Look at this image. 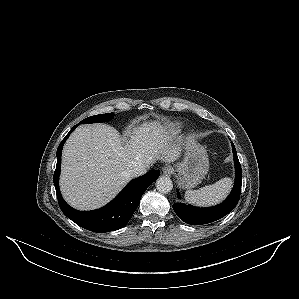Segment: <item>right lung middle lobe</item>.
<instances>
[{"label":"right lung middle lobe","mask_w":299,"mask_h":299,"mask_svg":"<svg viewBox=\"0 0 299 299\" xmlns=\"http://www.w3.org/2000/svg\"><path fill=\"white\" fill-rule=\"evenodd\" d=\"M113 118H114V113L99 114V115L88 117L82 120L79 124L110 121Z\"/></svg>","instance_id":"obj_1"}]
</instances>
